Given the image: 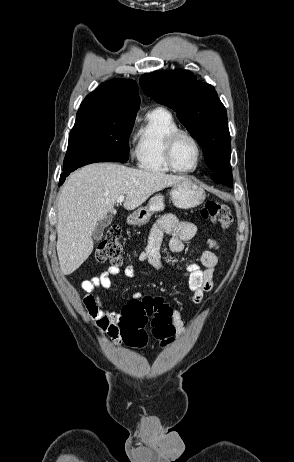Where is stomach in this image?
Wrapping results in <instances>:
<instances>
[{"label": "stomach", "mask_w": 294, "mask_h": 462, "mask_svg": "<svg viewBox=\"0 0 294 462\" xmlns=\"http://www.w3.org/2000/svg\"><path fill=\"white\" fill-rule=\"evenodd\" d=\"M170 197L177 208L190 209L200 205L205 200L206 194L202 187L186 178L172 186ZM164 209V197L156 194L150 198L146 206L138 208L131 214L130 222L137 226L145 225L154 213Z\"/></svg>", "instance_id": "1"}]
</instances>
